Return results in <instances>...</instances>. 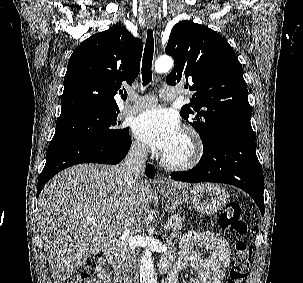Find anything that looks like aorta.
I'll use <instances>...</instances> for the list:
<instances>
[{"mask_svg":"<svg viewBox=\"0 0 303 283\" xmlns=\"http://www.w3.org/2000/svg\"><path fill=\"white\" fill-rule=\"evenodd\" d=\"M173 66V60L169 56H162L155 62V71L157 73H166ZM140 283H157L155 276L152 253L146 248L139 261Z\"/></svg>","mask_w":303,"mask_h":283,"instance_id":"obj_1","label":"aorta"}]
</instances>
